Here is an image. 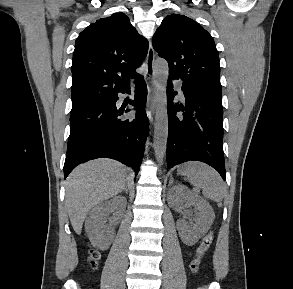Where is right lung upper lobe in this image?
<instances>
[{"label": "right lung upper lobe", "mask_w": 293, "mask_h": 289, "mask_svg": "<svg viewBox=\"0 0 293 289\" xmlns=\"http://www.w3.org/2000/svg\"><path fill=\"white\" fill-rule=\"evenodd\" d=\"M148 42L124 13L97 20L76 39L73 52L72 104L108 99L129 89V79L147 55Z\"/></svg>", "instance_id": "obj_1"}]
</instances>
